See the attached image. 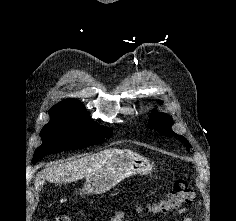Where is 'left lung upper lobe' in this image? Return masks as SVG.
<instances>
[{
  "label": "left lung upper lobe",
  "instance_id": "left-lung-upper-lobe-1",
  "mask_svg": "<svg viewBox=\"0 0 236 221\" xmlns=\"http://www.w3.org/2000/svg\"><path fill=\"white\" fill-rule=\"evenodd\" d=\"M172 124H173V120L169 115L156 112L151 115V120H150L148 126L150 129H156L159 133H161L167 137H171V136L178 137L179 140L182 143H184L186 148L189 150L191 145L183 136L177 135L176 133H174L171 130Z\"/></svg>",
  "mask_w": 236,
  "mask_h": 221
}]
</instances>
